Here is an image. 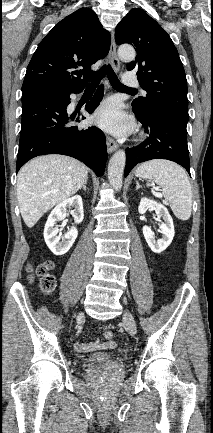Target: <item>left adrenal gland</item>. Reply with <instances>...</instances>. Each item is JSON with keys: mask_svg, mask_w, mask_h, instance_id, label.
Wrapping results in <instances>:
<instances>
[{"mask_svg": "<svg viewBox=\"0 0 213 433\" xmlns=\"http://www.w3.org/2000/svg\"><path fill=\"white\" fill-rule=\"evenodd\" d=\"M141 188V186L139 185V183H138V181L136 182V189L138 190V189H140Z\"/></svg>", "mask_w": 213, "mask_h": 433, "instance_id": "1", "label": "left adrenal gland"}]
</instances>
